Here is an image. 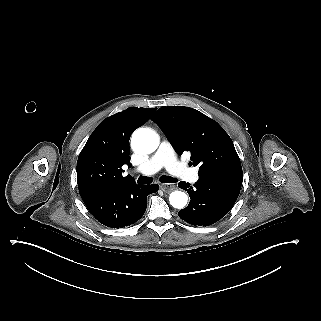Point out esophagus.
Masks as SVG:
<instances>
[{
    "label": "esophagus",
    "mask_w": 321,
    "mask_h": 321,
    "mask_svg": "<svg viewBox=\"0 0 321 321\" xmlns=\"http://www.w3.org/2000/svg\"><path fill=\"white\" fill-rule=\"evenodd\" d=\"M160 188L163 192L170 193L175 186L173 184H161Z\"/></svg>",
    "instance_id": "34e87169"
}]
</instances>
